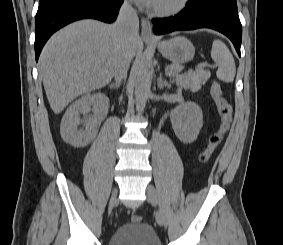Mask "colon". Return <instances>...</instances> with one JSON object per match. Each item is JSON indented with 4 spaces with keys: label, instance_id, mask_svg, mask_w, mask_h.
Wrapping results in <instances>:
<instances>
[{
    "label": "colon",
    "instance_id": "5ec220e1",
    "mask_svg": "<svg viewBox=\"0 0 283 245\" xmlns=\"http://www.w3.org/2000/svg\"><path fill=\"white\" fill-rule=\"evenodd\" d=\"M210 93L217 108L221 123L218 130L210 136L206 149L200 154L199 162L201 165L206 164L210 160L217 147L223 141L226 133L229 131L232 123V106L224 97L220 84L213 83ZM131 221L135 223L141 222V217L134 214L131 216Z\"/></svg>",
    "mask_w": 283,
    "mask_h": 245
}]
</instances>
